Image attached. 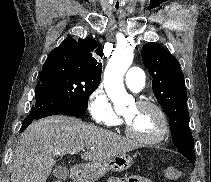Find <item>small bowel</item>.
<instances>
[{
    "mask_svg": "<svg viewBox=\"0 0 211 182\" xmlns=\"http://www.w3.org/2000/svg\"><path fill=\"white\" fill-rule=\"evenodd\" d=\"M109 182H152L148 178L142 176H130L125 178L112 177Z\"/></svg>",
    "mask_w": 211,
    "mask_h": 182,
    "instance_id": "c3829d8e",
    "label": "small bowel"
}]
</instances>
